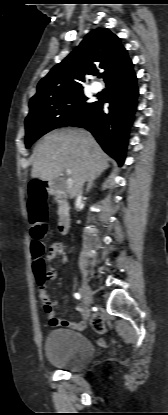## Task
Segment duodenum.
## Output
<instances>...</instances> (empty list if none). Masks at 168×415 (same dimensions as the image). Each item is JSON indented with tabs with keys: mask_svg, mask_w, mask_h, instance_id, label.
<instances>
[{
	"mask_svg": "<svg viewBox=\"0 0 168 415\" xmlns=\"http://www.w3.org/2000/svg\"><path fill=\"white\" fill-rule=\"evenodd\" d=\"M45 188L49 193L54 197L55 201L58 204L59 208V217H58V231L65 235L68 233L70 228V216L67 211V202L66 194L64 191L54 187L52 184L44 182Z\"/></svg>",
	"mask_w": 168,
	"mask_h": 415,
	"instance_id": "obj_1",
	"label": "duodenum"
}]
</instances>
